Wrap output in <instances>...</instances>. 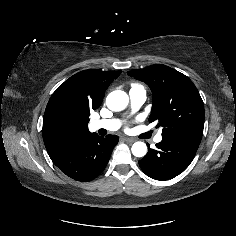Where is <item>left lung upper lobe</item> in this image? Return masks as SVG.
<instances>
[{"instance_id":"obj_1","label":"left lung upper lobe","mask_w":236,"mask_h":236,"mask_svg":"<svg viewBox=\"0 0 236 236\" xmlns=\"http://www.w3.org/2000/svg\"><path fill=\"white\" fill-rule=\"evenodd\" d=\"M151 89L153 104L149 122L163 127L162 137L202 136L204 105L193 82L184 74L165 65H153L128 71Z\"/></svg>"}]
</instances>
